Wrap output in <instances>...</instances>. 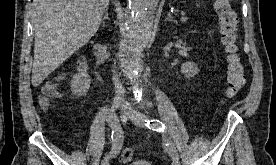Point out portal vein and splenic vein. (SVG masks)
<instances>
[{"label": "portal vein and splenic vein", "instance_id": "portal-vein-and-splenic-vein-1", "mask_svg": "<svg viewBox=\"0 0 276 165\" xmlns=\"http://www.w3.org/2000/svg\"><path fill=\"white\" fill-rule=\"evenodd\" d=\"M186 20H187V17L185 15V13H182L181 21H186Z\"/></svg>", "mask_w": 276, "mask_h": 165}]
</instances>
